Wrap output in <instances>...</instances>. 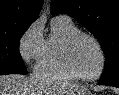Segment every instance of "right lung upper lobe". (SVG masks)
I'll return each instance as SVG.
<instances>
[{
	"mask_svg": "<svg viewBox=\"0 0 119 95\" xmlns=\"http://www.w3.org/2000/svg\"><path fill=\"white\" fill-rule=\"evenodd\" d=\"M43 0H0V28L32 24L39 15Z\"/></svg>",
	"mask_w": 119,
	"mask_h": 95,
	"instance_id": "right-lung-upper-lobe-1",
	"label": "right lung upper lobe"
}]
</instances>
